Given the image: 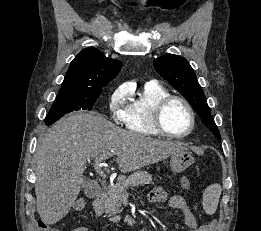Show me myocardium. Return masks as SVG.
Masks as SVG:
<instances>
[{"label":"myocardium","instance_id":"myocardium-1","mask_svg":"<svg viewBox=\"0 0 261 231\" xmlns=\"http://www.w3.org/2000/svg\"><path fill=\"white\" fill-rule=\"evenodd\" d=\"M172 101H179L181 102L187 109L189 116H190V126L188 128L187 131H185L184 133L181 134H174L169 132L165 125H164V121H163V115H164V111L166 109V107L172 102ZM154 125L156 127V129L163 135L171 137V138H184L187 137L188 135H190L192 133V131L195 128V124H196V117H195V112L193 110V107L191 106V104L183 97L178 96V95H168L166 97H164L163 99H161L154 110Z\"/></svg>","mask_w":261,"mask_h":231}]
</instances>
